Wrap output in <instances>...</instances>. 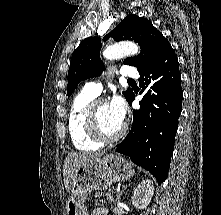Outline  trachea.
Instances as JSON below:
<instances>
[{
    "label": "trachea",
    "mask_w": 221,
    "mask_h": 215,
    "mask_svg": "<svg viewBox=\"0 0 221 215\" xmlns=\"http://www.w3.org/2000/svg\"><path fill=\"white\" fill-rule=\"evenodd\" d=\"M128 81H129V82H133L134 80H132V79H129Z\"/></svg>",
    "instance_id": "obj_1"
}]
</instances>
